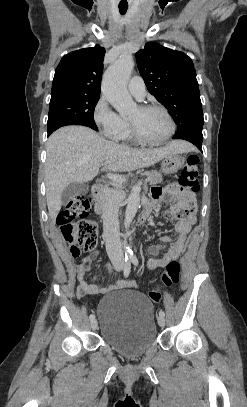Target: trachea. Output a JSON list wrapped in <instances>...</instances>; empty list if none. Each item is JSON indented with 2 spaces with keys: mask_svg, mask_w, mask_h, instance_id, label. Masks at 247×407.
<instances>
[{
  "mask_svg": "<svg viewBox=\"0 0 247 407\" xmlns=\"http://www.w3.org/2000/svg\"><path fill=\"white\" fill-rule=\"evenodd\" d=\"M128 6H119V12L124 15L127 12Z\"/></svg>",
  "mask_w": 247,
  "mask_h": 407,
  "instance_id": "obj_1",
  "label": "trachea"
}]
</instances>
